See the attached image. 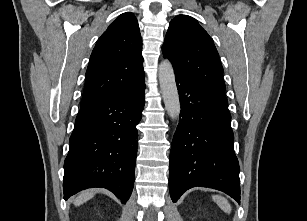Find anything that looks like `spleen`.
<instances>
[{
  "label": "spleen",
  "mask_w": 307,
  "mask_h": 221,
  "mask_svg": "<svg viewBox=\"0 0 307 221\" xmlns=\"http://www.w3.org/2000/svg\"><path fill=\"white\" fill-rule=\"evenodd\" d=\"M212 199L225 213L229 214L231 212V206L224 197L219 196V195H213Z\"/></svg>",
  "instance_id": "1"
}]
</instances>
